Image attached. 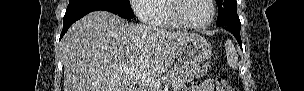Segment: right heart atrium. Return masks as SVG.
Wrapping results in <instances>:
<instances>
[{
    "label": "right heart atrium",
    "instance_id": "right-heart-atrium-1",
    "mask_svg": "<svg viewBox=\"0 0 304 91\" xmlns=\"http://www.w3.org/2000/svg\"><path fill=\"white\" fill-rule=\"evenodd\" d=\"M156 2L157 0H132L131 7L141 22L153 24L157 20L153 9Z\"/></svg>",
    "mask_w": 304,
    "mask_h": 91
}]
</instances>
